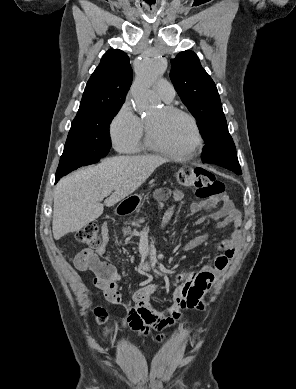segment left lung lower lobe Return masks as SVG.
<instances>
[{
  "label": "left lung lower lobe",
  "instance_id": "0a47b994",
  "mask_svg": "<svg viewBox=\"0 0 296 389\" xmlns=\"http://www.w3.org/2000/svg\"><path fill=\"white\" fill-rule=\"evenodd\" d=\"M202 162L222 166L236 174H242L236 148L229 134L228 126L217 131L201 152Z\"/></svg>",
  "mask_w": 296,
  "mask_h": 389
}]
</instances>
